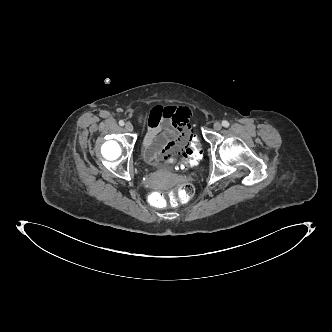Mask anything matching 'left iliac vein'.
I'll return each instance as SVG.
<instances>
[{
  "instance_id": "obj_1",
  "label": "left iliac vein",
  "mask_w": 332,
  "mask_h": 332,
  "mask_svg": "<svg viewBox=\"0 0 332 332\" xmlns=\"http://www.w3.org/2000/svg\"><path fill=\"white\" fill-rule=\"evenodd\" d=\"M213 127L216 131H219L222 128V124L220 122H215Z\"/></svg>"
}]
</instances>
